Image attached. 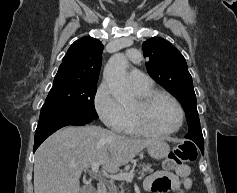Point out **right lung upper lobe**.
Listing matches in <instances>:
<instances>
[{
	"mask_svg": "<svg viewBox=\"0 0 237 193\" xmlns=\"http://www.w3.org/2000/svg\"><path fill=\"white\" fill-rule=\"evenodd\" d=\"M103 44L92 37H82L68 49L55 78L97 82L102 62Z\"/></svg>",
	"mask_w": 237,
	"mask_h": 193,
	"instance_id": "1",
	"label": "right lung upper lobe"
}]
</instances>
